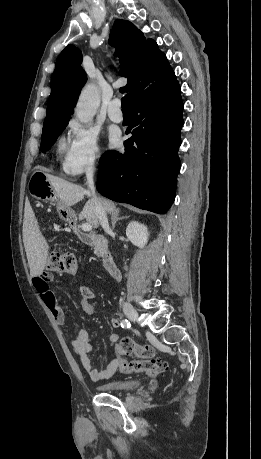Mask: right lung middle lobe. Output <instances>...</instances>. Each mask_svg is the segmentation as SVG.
Returning <instances> with one entry per match:
<instances>
[{
	"instance_id": "dd1d6c3e",
	"label": "right lung middle lobe",
	"mask_w": 261,
	"mask_h": 459,
	"mask_svg": "<svg viewBox=\"0 0 261 459\" xmlns=\"http://www.w3.org/2000/svg\"><path fill=\"white\" fill-rule=\"evenodd\" d=\"M68 123L53 125L43 127L42 138H41V148L42 151H47L52 144L57 140L58 136L65 129Z\"/></svg>"
}]
</instances>
